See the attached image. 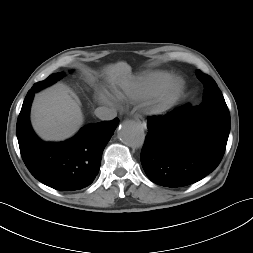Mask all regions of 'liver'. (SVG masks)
Masks as SVG:
<instances>
[{"instance_id":"6515ba94","label":"liver","mask_w":253,"mask_h":253,"mask_svg":"<svg viewBox=\"0 0 253 253\" xmlns=\"http://www.w3.org/2000/svg\"><path fill=\"white\" fill-rule=\"evenodd\" d=\"M130 71L126 62H118L107 67L105 72L111 81H116ZM31 122L42 139L60 141L71 137L80 128L83 114L79 103L72 97L71 90L64 84H56L36 95Z\"/></svg>"}]
</instances>
